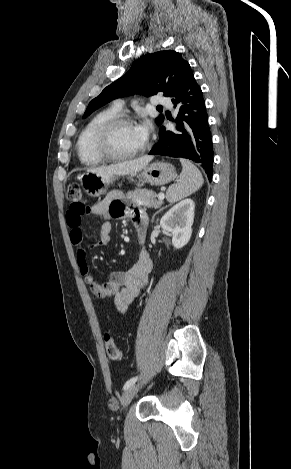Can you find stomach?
<instances>
[{"label":"stomach","instance_id":"obj_1","mask_svg":"<svg viewBox=\"0 0 291 469\" xmlns=\"http://www.w3.org/2000/svg\"><path fill=\"white\" fill-rule=\"evenodd\" d=\"M137 177L151 185L161 186L169 183L176 177L173 165L165 162H154L146 165ZM114 175H101L87 172L81 176V185L91 197H99L106 193L109 185L116 180Z\"/></svg>","mask_w":291,"mask_h":469}]
</instances>
